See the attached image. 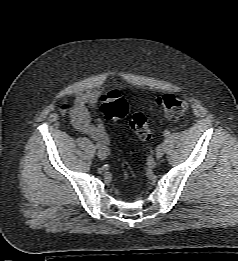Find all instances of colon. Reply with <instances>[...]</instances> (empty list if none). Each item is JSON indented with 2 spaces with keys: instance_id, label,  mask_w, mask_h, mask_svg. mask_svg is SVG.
Returning a JSON list of instances; mask_svg holds the SVG:
<instances>
[{
  "instance_id": "colon-1",
  "label": "colon",
  "mask_w": 238,
  "mask_h": 261,
  "mask_svg": "<svg viewBox=\"0 0 238 261\" xmlns=\"http://www.w3.org/2000/svg\"><path fill=\"white\" fill-rule=\"evenodd\" d=\"M155 103L171 119H181L188 109L186 100L172 94L160 95L155 99ZM101 111L106 119L112 121L109 128L113 129L117 122L121 121L128 113V104L117 91H111L101 98ZM132 131L141 139H150L154 131L148 125L145 115L136 110L130 119Z\"/></svg>"
}]
</instances>
